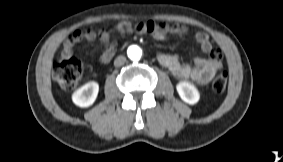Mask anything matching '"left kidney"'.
I'll list each match as a JSON object with an SVG mask.
<instances>
[{
    "label": "left kidney",
    "mask_w": 283,
    "mask_h": 162,
    "mask_svg": "<svg viewBox=\"0 0 283 162\" xmlns=\"http://www.w3.org/2000/svg\"><path fill=\"white\" fill-rule=\"evenodd\" d=\"M176 89L181 99L187 104L194 105L200 99V94L197 88L189 82H179L176 85Z\"/></svg>",
    "instance_id": "left-kidney-1"
}]
</instances>
